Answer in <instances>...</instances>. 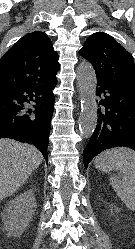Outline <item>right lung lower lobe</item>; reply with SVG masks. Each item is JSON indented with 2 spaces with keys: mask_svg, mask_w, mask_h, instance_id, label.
Returning <instances> with one entry per match:
<instances>
[{
  "mask_svg": "<svg viewBox=\"0 0 135 249\" xmlns=\"http://www.w3.org/2000/svg\"><path fill=\"white\" fill-rule=\"evenodd\" d=\"M56 78L0 89V138L35 145L47 162L48 136L54 111ZM27 103L32 104L31 108Z\"/></svg>",
  "mask_w": 135,
  "mask_h": 249,
  "instance_id": "obj_1",
  "label": "right lung lower lobe"
}]
</instances>
